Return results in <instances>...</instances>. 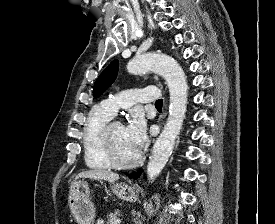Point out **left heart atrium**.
<instances>
[{
	"mask_svg": "<svg viewBox=\"0 0 275 224\" xmlns=\"http://www.w3.org/2000/svg\"><path fill=\"white\" fill-rule=\"evenodd\" d=\"M125 134L132 147L139 152L147 142L143 119L140 116H134L131 122L125 127Z\"/></svg>",
	"mask_w": 275,
	"mask_h": 224,
	"instance_id": "39dd6f15",
	"label": "left heart atrium"
}]
</instances>
